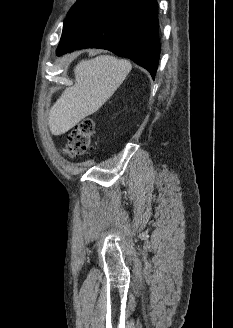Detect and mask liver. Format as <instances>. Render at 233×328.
Returning a JSON list of instances; mask_svg holds the SVG:
<instances>
[{"mask_svg": "<svg viewBox=\"0 0 233 328\" xmlns=\"http://www.w3.org/2000/svg\"><path fill=\"white\" fill-rule=\"evenodd\" d=\"M125 59L109 55L83 60L74 69L75 84L64 90L49 111L52 135L66 133L82 119L98 111L130 72Z\"/></svg>", "mask_w": 233, "mask_h": 328, "instance_id": "1", "label": "liver"}]
</instances>
